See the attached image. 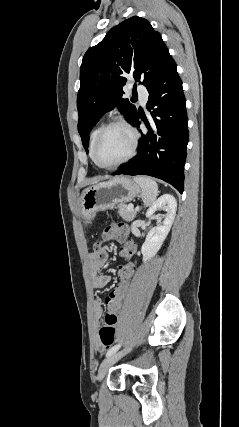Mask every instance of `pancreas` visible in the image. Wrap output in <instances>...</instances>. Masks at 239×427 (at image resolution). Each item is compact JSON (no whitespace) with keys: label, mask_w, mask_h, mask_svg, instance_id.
<instances>
[{"label":"pancreas","mask_w":239,"mask_h":427,"mask_svg":"<svg viewBox=\"0 0 239 427\" xmlns=\"http://www.w3.org/2000/svg\"><path fill=\"white\" fill-rule=\"evenodd\" d=\"M119 215L127 222L134 220L136 210H129L126 204H119L117 207Z\"/></svg>","instance_id":"pancreas-1"}]
</instances>
